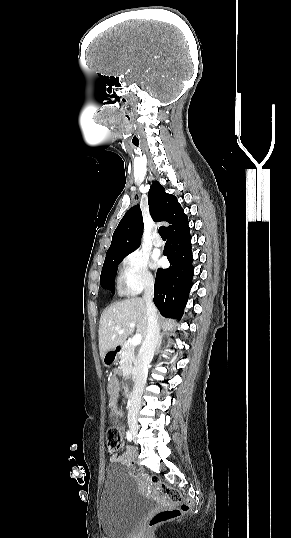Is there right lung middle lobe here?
<instances>
[{
  "instance_id": "obj_1",
  "label": "right lung middle lobe",
  "mask_w": 291,
  "mask_h": 538,
  "mask_svg": "<svg viewBox=\"0 0 291 538\" xmlns=\"http://www.w3.org/2000/svg\"><path fill=\"white\" fill-rule=\"evenodd\" d=\"M125 256L116 258L114 260L104 261L100 283L103 288L109 289L112 293L115 292L114 278L116 274L117 267L119 263L123 260Z\"/></svg>"
}]
</instances>
